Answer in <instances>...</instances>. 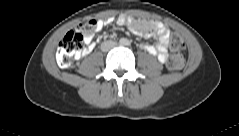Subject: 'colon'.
<instances>
[{
  "mask_svg": "<svg viewBox=\"0 0 239 136\" xmlns=\"http://www.w3.org/2000/svg\"><path fill=\"white\" fill-rule=\"evenodd\" d=\"M98 30V22L96 20H87L80 23L75 31L68 32L60 41L56 53V60L61 68H70L74 60L80 55L84 38L92 36ZM172 55L168 61V68L171 70H179L184 65L183 51L185 42L183 38L173 33L170 39Z\"/></svg>",
  "mask_w": 239,
  "mask_h": 136,
  "instance_id": "obj_1",
  "label": "colon"
}]
</instances>
